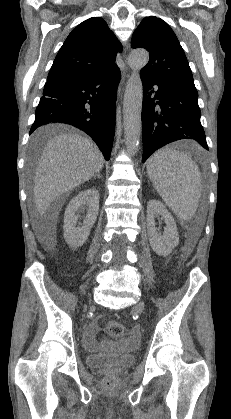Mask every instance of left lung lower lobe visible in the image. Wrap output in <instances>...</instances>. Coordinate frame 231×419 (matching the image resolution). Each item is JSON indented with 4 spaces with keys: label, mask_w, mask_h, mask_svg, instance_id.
I'll list each match as a JSON object with an SVG mask.
<instances>
[{
    "label": "left lung lower lobe",
    "mask_w": 231,
    "mask_h": 419,
    "mask_svg": "<svg viewBox=\"0 0 231 419\" xmlns=\"http://www.w3.org/2000/svg\"><path fill=\"white\" fill-rule=\"evenodd\" d=\"M141 79L143 162L157 149L180 139L196 140L208 150L196 88L143 73Z\"/></svg>",
    "instance_id": "left-lung-lower-lobe-1"
}]
</instances>
